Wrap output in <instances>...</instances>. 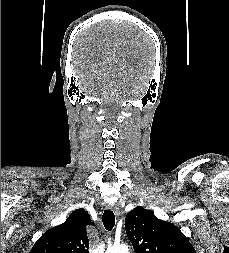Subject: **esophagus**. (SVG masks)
Segmentation results:
<instances>
[{
  "label": "esophagus",
  "mask_w": 229,
  "mask_h": 253,
  "mask_svg": "<svg viewBox=\"0 0 229 253\" xmlns=\"http://www.w3.org/2000/svg\"><path fill=\"white\" fill-rule=\"evenodd\" d=\"M107 209L112 210L115 213V215H117L119 217L120 210H119V207L117 205H109L107 207Z\"/></svg>",
  "instance_id": "obj_1"
}]
</instances>
